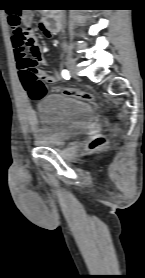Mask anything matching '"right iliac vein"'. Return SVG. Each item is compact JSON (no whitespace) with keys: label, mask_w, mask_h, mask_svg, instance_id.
I'll list each match as a JSON object with an SVG mask.
<instances>
[{"label":"right iliac vein","mask_w":145,"mask_h":278,"mask_svg":"<svg viewBox=\"0 0 145 278\" xmlns=\"http://www.w3.org/2000/svg\"><path fill=\"white\" fill-rule=\"evenodd\" d=\"M66 64H67V67H68L69 71L71 72V74L76 75L78 72V68H77L73 58L69 55H67V57H66Z\"/></svg>","instance_id":"1"}]
</instances>
